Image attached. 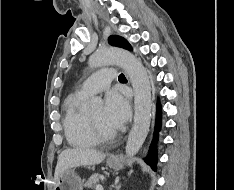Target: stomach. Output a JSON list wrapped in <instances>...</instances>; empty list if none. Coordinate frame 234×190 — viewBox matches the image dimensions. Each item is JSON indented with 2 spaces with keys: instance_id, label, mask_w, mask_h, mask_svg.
Returning <instances> with one entry per match:
<instances>
[{
  "instance_id": "obj_1",
  "label": "stomach",
  "mask_w": 234,
  "mask_h": 190,
  "mask_svg": "<svg viewBox=\"0 0 234 190\" xmlns=\"http://www.w3.org/2000/svg\"><path fill=\"white\" fill-rule=\"evenodd\" d=\"M107 164L111 168H121L123 161L117 158L114 161L108 160ZM54 190H82L80 177L71 169L64 171L57 179Z\"/></svg>"
}]
</instances>
